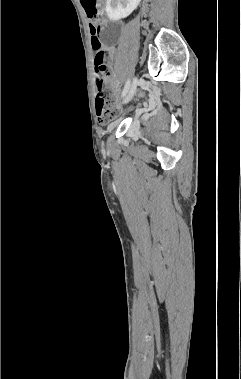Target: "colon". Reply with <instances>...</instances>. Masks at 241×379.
I'll list each match as a JSON object with an SVG mask.
<instances>
[{
	"mask_svg": "<svg viewBox=\"0 0 241 379\" xmlns=\"http://www.w3.org/2000/svg\"><path fill=\"white\" fill-rule=\"evenodd\" d=\"M100 0H81L90 23L91 30V43L95 51V84H96V110L97 115L102 123L112 121L118 110V103L116 95L106 85L105 78L108 70L105 64L106 54L102 48V44L98 37L99 19L102 15V8L99 3Z\"/></svg>",
	"mask_w": 241,
	"mask_h": 379,
	"instance_id": "colon-1",
	"label": "colon"
}]
</instances>
